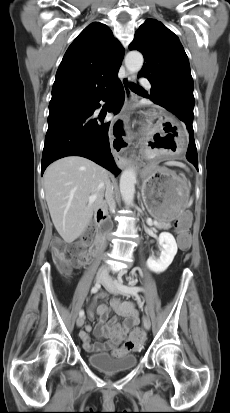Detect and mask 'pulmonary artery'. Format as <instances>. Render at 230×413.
Listing matches in <instances>:
<instances>
[{
    "mask_svg": "<svg viewBox=\"0 0 230 413\" xmlns=\"http://www.w3.org/2000/svg\"><path fill=\"white\" fill-rule=\"evenodd\" d=\"M141 82H142L144 85L150 87V82L148 81L147 78H142V81H141Z\"/></svg>",
    "mask_w": 230,
    "mask_h": 413,
    "instance_id": "1",
    "label": "pulmonary artery"
}]
</instances>
